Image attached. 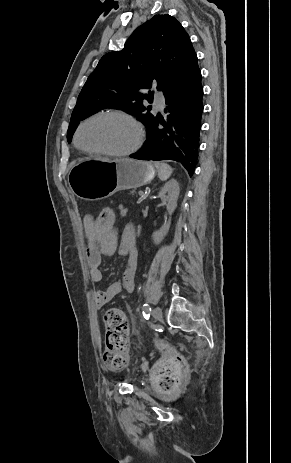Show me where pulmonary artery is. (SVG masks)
Instances as JSON below:
<instances>
[{
	"label": "pulmonary artery",
	"instance_id": "1",
	"mask_svg": "<svg viewBox=\"0 0 291 463\" xmlns=\"http://www.w3.org/2000/svg\"><path fill=\"white\" fill-rule=\"evenodd\" d=\"M155 103L159 109H162L165 103L164 97L160 93L155 94Z\"/></svg>",
	"mask_w": 291,
	"mask_h": 463
}]
</instances>
